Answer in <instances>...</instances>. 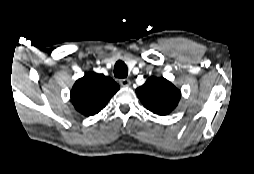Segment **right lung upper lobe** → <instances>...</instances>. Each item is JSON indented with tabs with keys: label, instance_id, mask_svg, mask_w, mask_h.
Here are the masks:
<instances>
[{
	"label": "right lung upper lobe",
	"instance_id": "cb5924a9",
	"mask_svg": "<svg viewBox=\"0 0 254 174\" xmlns=\"http://www.w3.org/2000/svg\"><path fill=\"white\" fill-rule=\"evenodd\" d=\"M119 88L112 78L91 72L75 82L70 96L77 111L92 116L106 106Z\"/></svg>",
	"mask_w": 254,
	"mask_h": 174
}]
</instances>
